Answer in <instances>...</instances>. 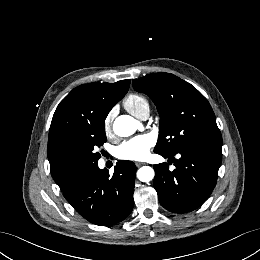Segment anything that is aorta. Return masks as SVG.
<instances>
[{"label":"aorta","instance_id":"1","mask_svg":"<svg viewBox=\"0 0 260 260\" xmlns=\"http://www.w3.org/2000/svg\"><path fill=\"white\" fill-rule=\"evenodd\" d=\"M138 122L129 115L118 116L113 123V131L120 137H128L135 133ZM155 172L150 166H143L137 171V178L142 182H150Z\"/></svg>","mask_w":260,"mask_h":260}]
</instances>
